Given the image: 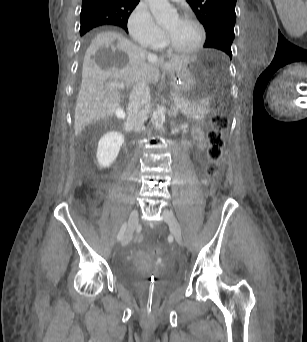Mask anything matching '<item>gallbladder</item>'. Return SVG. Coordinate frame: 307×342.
<instances>
[{
  "instance_id": "1",
  "label": "gallbladder",
  "mask_w": 307,
  "mask_h": 342,
  "mask_svg": "<svg viewBox=\"0 0 307 342\" xmlns=\"http://www.w3.org/2000/svg\"><path fill=\"white\" fill-rule=\"evenodd\" d=\"M115 112L117 113L116 115L119 117V116H121L122 118H125L126 116H127V109L125 108V107H122V108H120V107H117L116 109H115Z\"/></svg>"
}]
</instances>
